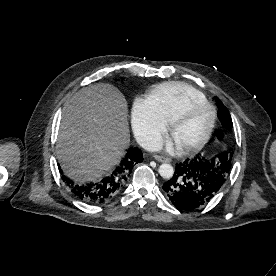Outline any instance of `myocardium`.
<instances>
[{
	"instance_id": "myocardium-1",
	"label": "myocardium",
	"mask_w": 276,
	"mask_h": 276,
	"mask_svg": "<svg viewBox=\"0 0 276 276\" xmlns=\"http://www.w3.org/2000/svg\"><path fill=\"white\" fill-rule=\"evenodd\" d=\"M197 104H204L209 108L211 112V119L203 136L198 141L184 147V149L187 152H194L201 149L210 139L213 129L215 127L216 117H217V112L215 107L207 99H193L189 101L184 106V108H182L169 122L170 131L173 133L176 126L189 114L190 110Z\"/></svg>"
}]
</instances>
